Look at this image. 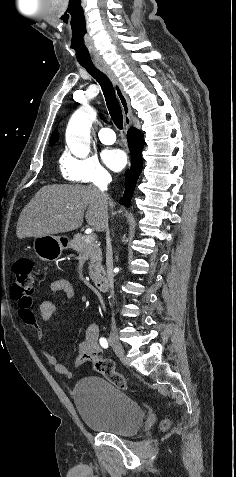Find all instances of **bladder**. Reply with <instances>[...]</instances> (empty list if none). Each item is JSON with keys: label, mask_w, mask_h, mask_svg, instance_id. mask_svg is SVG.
I'll return each instance as SVG.
<instances>
[{"label": "bladder", "mask_w": 236, "mask_h": 477, "mask_svg": "<svg viewBox=\"0 0 236 477\" xmlns=\"http://www.w3.org/2000/svg\"><path fill=\"white\" fill-rule=\"evenodd\" d=\"M73 398L82 421L92 430L130 436L142 427L144 414L140 404L104 378L81 379Z\"/></svg>", "instance_id": "obj_1"}]
</instances>
